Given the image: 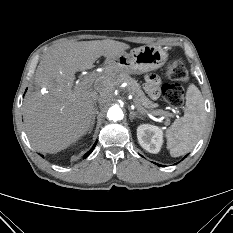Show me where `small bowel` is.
<instances>
[{
    "label": "small bowel",
    "mask_w": 233,
    "mask_h": 233,
    "mask_svg": "<svg viewBox=\"0 0 233 233\" xmlns=\"http://www.w3.org/2000/svg\"><path fill=\"white\" fill-rule=\"evenodd\" d=\"M159 85L160 81L155 75H148L144 85L145 91L152 99L159 97Z\"/></svg>",
    "instance_id": "1"
}]
</instances>
